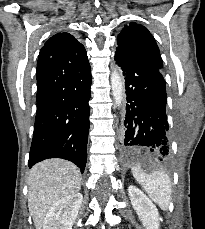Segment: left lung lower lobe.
<instances>
[{"label": "left lung lower lobe", "instance_id": "left-lung-lower-lobe-1", "mask_svg": "<svg viewBox=\"0 0 205 229\" xmlns=\"http://www.w3.org/2000/svg\"><path fill=\"white\" fill-rule=\"evenodd\" d=\"M115 61L123 70L127 95L123 153L127 157L147 154L156 161L167 160L170 138L166 84L161 70L118 48Z\"/></svg>", "mask_w": 205, "mask_h": 229}]
</instances>
